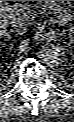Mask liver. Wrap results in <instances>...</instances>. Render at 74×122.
Here are the masks:
<instances>
[{
  "label": "liver",
  "mask_w": 74,
  "mask_h": 122,
  "mask_svg": "<svg viewBox=\"0 0 74 122\" xmlns=\"http://www.w3.org/2000/svg\"><path fill=\"white\" fill-rule=\"evenodd\" d=\"M4 7V8H2ZM16 14H25L29 17L31 15V10L26 5L15 4L14 6H1L0 9V33L3 34L7 26L9 25V20L11 16Z\"/></svg>",
  "instance_id": "6515ba94"
}]
</instances>
